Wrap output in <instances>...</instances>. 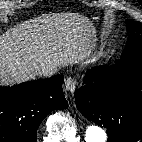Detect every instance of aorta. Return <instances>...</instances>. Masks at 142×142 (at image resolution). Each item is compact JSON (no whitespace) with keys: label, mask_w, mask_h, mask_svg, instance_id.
I'll return each mask as SVG.
<instances>
[{"label":"aorta","mask_w":142,"mask_h":142,"mask_svg":"<svg viewBox=\"0 0 142 142\" xmlns=\"http://www.w3.org/2000/svg\"><path fill=\"white\" fill-rule=\"evenodd\" d=\"M86 142H106V132L99 126L90 125L86 129Z\"/></svg>","instance_id":"1"}]
</instances>
